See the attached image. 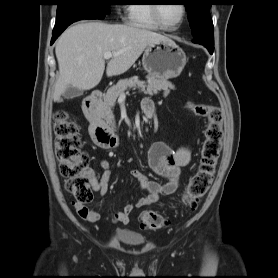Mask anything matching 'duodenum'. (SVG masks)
<instances>
[{
    "label": "duodenum",
    "mask_w": 278,
    "mask_h": 278,
    "mask_svg": "<svg viewBox=\"0 0 278 278\" xmlns=\"http://www.w3.org/2000/svg\"><path fill=\"white\" fill-rule=\"evenodd\" d=\"M102 92L93 91L83 102V112L90 123L89 131L92 139L101 147L111 148L118 144V136L101 119L98 106Z\"/></svg>",
    "instance_id": "410a0bca"
}]
</instances>
